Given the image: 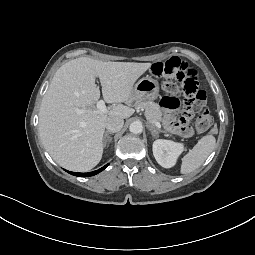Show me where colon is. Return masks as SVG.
Here are the masks:
<instances>
[{"mask_svg": "<svg viewBox=\"0 0 255 255\" xmlns=\"http://www.w3.org/2000/svg\"><path fill=\"white\" fill-rule=\"evenodd\" d=\"M151 73L156 78H164L163 88L170 95L183 94V116L191 117L196 111H202L196 120V130L206 132L213 127V117L205 108L207 102L206 92L201 90L197 81V74L187 63L177 57L165 62L152 65ZM212 132H215L212 129Z\"/></svg>", "mask_w": 255, "mask_h": 255, "instance_id": "5ec220e1", "label": "colon"}]
</instances>
